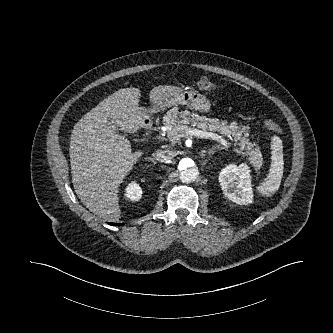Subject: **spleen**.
Wrapping results in <instances>:
<instances>
[{
	"mask_svg": "<svg viewBox=\"0 0 333 333\" xmlns=\"http://www.w3.org/2000/svg\"><path fill=\"white\" fill-rule=\"evenodd\" d=\"M272 149V162L269 170V174L267 176V180L262 183L260 190L263 195L270 196L274 192H276L280 186L281 179L283 176V146L282 141L274 137L271 145Z\"/></svg>",
	"mask_w": 333,
	"mask_h": 333,
	"instance_id": "obj_1",
	"label": "spleen"
}]
</instances>
